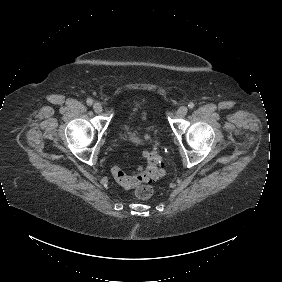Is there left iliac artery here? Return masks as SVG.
<instances>
[{
  "label": "left iliac artery",
  "mask_w": 282,
  "mask_h": 282,
  "mask_svg": "<svg viewBox=\"0 0 282 282\" xmlns=\"http://www.w3.org/2000/svg\"><path fill=\"white\" fill-rule=\"evenodd\" d=\"M194 103L193 102H190L189 104H188V107H189V109H192V108H194Z\"/></svg>",
  "instance_id": "1"
}]
</instances>
